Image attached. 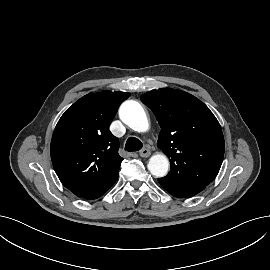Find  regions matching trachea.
<instances>
[{"instance_id": "obj_1", "label": "trachea", "mask_w": 270, "mask_h": 270, "mask_svg": "<svg viewBox=\"0 0 270 270\" xmlns=\"http://www.w3.org/2000/svg\"><path fill=\"white\" fill-rule=\"evenodd\" d=\"M143 147L142 142L135 138V137H130L128 138L126 145H125V149L128 152H134V151H138Z\"/></svg>"}]
</instances>
